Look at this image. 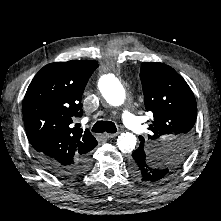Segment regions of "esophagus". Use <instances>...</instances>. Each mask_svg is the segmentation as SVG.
Returning <instances> with one entry per match:
<instances>
[{
	"mask_svg": "<svg viewBox=\"0 0 221 221\" xmlns=\"http://www.w3.org/2000/svg\"><path fill=\"white\" fill-rule=\"evenodd\" d=\"M117 136V133H105V137L108 139L115 138Z\"/></svg>",
	"mask_w": 221,
	"mask_h": 221,
	"instance_id": "esophagus-1",
	"label": "esophagus"
}]
</instances>
